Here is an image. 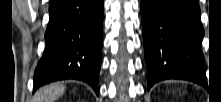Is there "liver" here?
Returning a JSON list of instances; mask_svg holds the SVG:
<instances>
[{"label": "liver", "mask_w": 221, "mask_h": 102, "mask_svg": "<svg viewBox=\"0 0 221 102\" xmlns=\"http://www.w3.org/2000/svg\"><path fill=\"white\" fill-rule=\"evenodd\" d=\"M66 87L60 83H54L40 88L34 96V102H54L63 95Z\"/></svg>", "instance_id": "liver-1"}]
</instances>
